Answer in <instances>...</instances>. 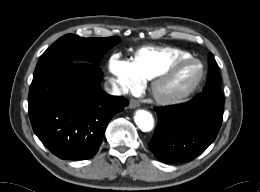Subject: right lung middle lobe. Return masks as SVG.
I'll return each instance as SVG.
<instances>
[{"label": "right lung middle lobe", "instance_id": "obj_1", "mask_svg": "<svg viewBox=\"0 0 260 192\" xmlns=\"http://www.w3.org/2000/svg\"><path fill=\"white\" fill-rule=\"evenodd\" d=\"M119 40V37L82 38L74 34H66L40 56L34 75L48 66L76 58H87L97 62L100 56Z\"/></svg>", "mask_w": 260, "mask_h": 192}]
</instances>
